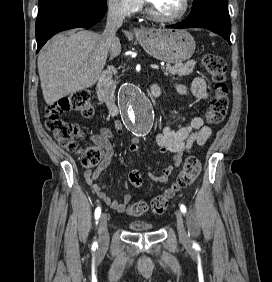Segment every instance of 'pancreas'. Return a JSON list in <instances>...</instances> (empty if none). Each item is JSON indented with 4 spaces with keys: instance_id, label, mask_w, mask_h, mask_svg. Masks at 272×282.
Masks as SVG:
<instances>
[{
    "instance_id": "cf45deb5",
    "label": "pancreas",
    "mask_w": 272,
    "mask_h": 282,
    "mask_svg": "<svg viewBox=\"0 0 272 282\" xmlns=\"http://www.w3.org/2000/svg\"><path fill=\"white\" fill-rule=\"evenodd\" d=\"M196 62L195 61H188L185 64H181L178 63L174 66H171L170 64H167L166 67H162V71L164 73L165 76H185V75H189L190 73L193 72L194 66H195ZM116 84L117 81H114L112 83V94L114 93V90L116 88Z\"/></svg>"
}]
</instances>
